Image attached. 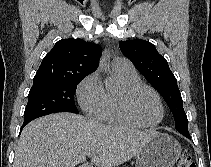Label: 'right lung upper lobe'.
<instances>
[{
    "mask_svg": "<svg viewBox=\"0 0 211 167\" xmlns=\"http://www.w3.org/2000/svg\"><path fill=\"white\" fill-rule=\"evenodd\" d=\"M101 52L99 44L80 38L62 39L43 58L34 83L84 78L97 69Z\"/></svg>",
    "mask_w": 211,
    "mask_h": 167,
    "instance_id": "right-lung-upper-lobe-1",
    "label": "right lung upper lobe"
}]
</instances>
